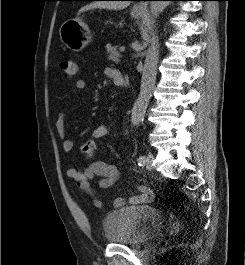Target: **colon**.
<instances>
[{
  "mask_svg": "<svg viewBox=\"0 0 245 265\" xmlns=\"http://www.w3.org/2000/svg\"><path fill=\"white\" fill-rule=\"evenodd\" d=\"M64 75L68 79H74L77 75V65L70 59H64L60 63ZM81 152L86 158H92L96 152V144L93 141H86L81 146Z\"/></svg>",
  "mask_w": 245,
  "mask_h": 265,
  "instance_id": "colon-1",
  "label": "colon"
}]
</instances>
